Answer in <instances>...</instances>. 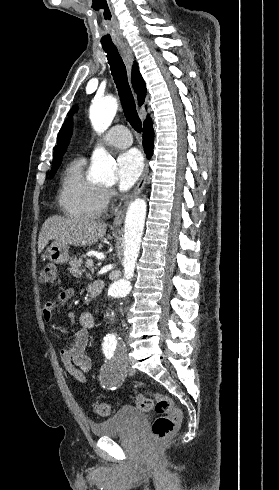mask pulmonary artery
Instances as JSON below:
<instances>
[{
	"instance_id": "e3ab8cb5",
	"label": "pulmonary artery",
	"mask_w": 279,
	"mask_h": 490,
	"mask_svg": "<svg viewBox=\"0 0 279 490\" xmlns=\"http://www.w3.org/2000/svg\"><path fill=\"white\" fill-rule=\"evenodd\" d=\"M128 130L124 126H115L111 128L106 135L100 140L103 144L111 145L120 149L127 148L131 145V138L127 137Z\"/></svg>"
}]
</instances>
